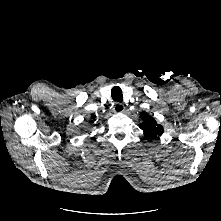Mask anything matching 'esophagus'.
I'll use <instances>...</instances> for the list:
<instances>
[{
	"label": "esophagus",
	"instance_id": "1",
	"mask_svg": "<svg viewBox=\"0 0 221 221\" xmlns=\"http://www.w3.org/2000/svg\"><path fill=\"white\" fill-rule=\"evenodd\" d=\"M115 113H122L125 111V106L121 103H116L113 107Z\"/></svg>",
	"mask_w": 221,
	"mask_h": 221
}]
</instances>
